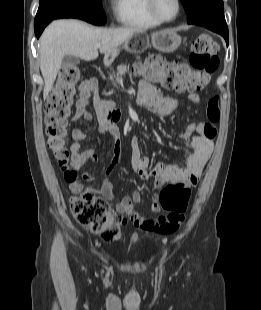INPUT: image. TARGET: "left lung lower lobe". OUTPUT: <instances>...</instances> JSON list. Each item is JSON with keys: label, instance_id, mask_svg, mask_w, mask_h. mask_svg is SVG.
<instances>
[{"label": "left lung lower lobe", "instance_id": "1", "mask_svg": "<svg viewBox=\"0 0 261 310\" xmlns=\"http://www.w3.org/2000/svg\"><path fill=\"white\" fill-rule=\"evenodd\" d=\"M196 25L203 26L209 30H212L216 33H219L220 35H222L224 37V39L226 40L227 46H228V28H227V25H221L219 23H215L212 21L199 22V23H196Z\"/></svg>", "mask_w": 261, "mask_h": 310}]
</instances>
